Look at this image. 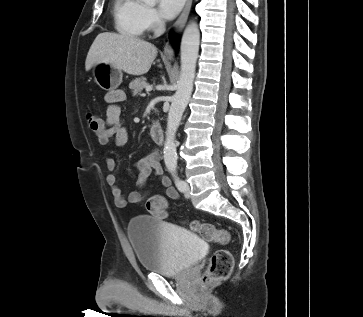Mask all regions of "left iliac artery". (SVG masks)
I'll list each match as a JSON object with an SVG mask.
<instances>
[{
  "instance_id": "1",
  "label": "left iliac artery",
  "mask_w": 363,
  "mask_h": 317,
  "mask_svg": "<svg viewBox=\"0 0 363 317\" xmlns=\"http://www.w3.org/2000/svg\"><path fill=\"white\" fill-rule=\"evenodd\" d=\"M171 174H172V176L174 178L175 185L178 188V190L181 191V192L184 191V189H185V182L178 177L176 171H171Z\"/></svg>"
}]
</instances>
